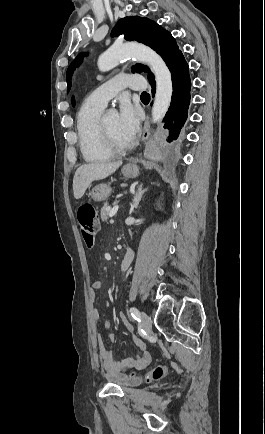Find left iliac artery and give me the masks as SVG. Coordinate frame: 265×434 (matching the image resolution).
Instances as JSON below:
<instances>
[{
    "instance_id": "44dca946",
    "label": "left iliac artery",
    "mask_w": 265,
    "mask_h": 434,
    "mask_svg": "<svg viewBox=\"0 0 265 434\" xmlns=\"http://www.w3.org/2000/svg\"><path fill=\"white\" fill-rule=\"evenodd\" d=\"M130 313H131V316L135 319V320H140V313H139V311H138V309L137 308H135V307H131L130 308Z\"/></svg>"
}]
</instances>
